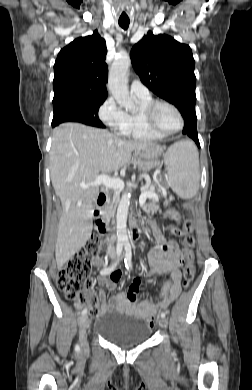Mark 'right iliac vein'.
Returning <instances> with one entry per match:
<instances>
[{"mask_svg":"<svg viewBox=\"0 0 252 390\" xmlns=\"http://www.w3.org/2000/svg\"><path fill=\"white\" fill-rule=\"evenodd\" d=\"M90 322L86 315H82L79 318V333H80V344L83 349L88 347L87 334L89 331Z\"/></svg>","mask_w":252,"mask_h":390,"instance_id":"1","label":"right iliac vein"}]
</instances>
